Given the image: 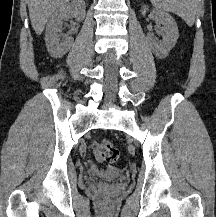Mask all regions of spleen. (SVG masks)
Instances as JSON below:
<instances>
[{"label":"spleen","mask_w":216,"mask_h":217,"mask_svg":"<svg viewBox=\"0 0 216 217\" xmlns=\"http://www.w3.org/2000/svg\"><path fill=\"white\" fill-rule=\"evenodd\" d=\"M151 2L156 8L172 12L180 16L188 26H193L198 0H151Z\"/></svg>","instance_id":"obj_1"}]
</instances>
